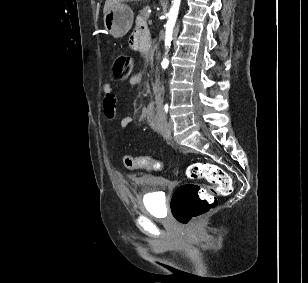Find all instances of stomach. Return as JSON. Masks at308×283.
Wrapping results in <instances>:
<instances>
[{
    "instance_id": "0dacf381",
    "label": "stomach",
    "mask_w": 308,
    "mask_h": 283,
    "mask_svg": "<svg viewBox=\"0 0 308 283\" xmlns=\"http://www.w3.org/2000/svg\"><path fill=\"white\" fill-rule=\"evenodd\" d=\"M133 16L127 5L116 4L104 14V27L114 38H121L131 29Z\"/></svg>"
}]
</instances>
